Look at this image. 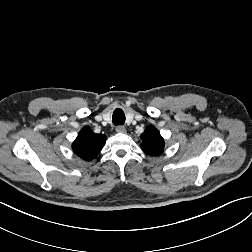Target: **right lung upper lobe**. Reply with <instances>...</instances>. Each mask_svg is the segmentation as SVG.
<instances>
[{
  "instance_id": "1",
  "label": "right lung upper lobe",
  "mask_w": 252,
  "mask_h": 252,
  "mask_svg": "<svg viewBox=\"0 0 252 252\" xmlns=\"http://www.w3.org/2000/svg\"><path fill=\"white\" fill-rule=\"evenodd\" d=\"M107 137L94 133L89 127H84L73 142V151L82 159H94L106 142Z\"/></svg>"
}]
</instances>
